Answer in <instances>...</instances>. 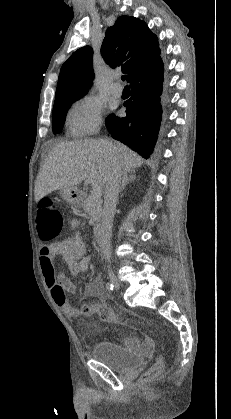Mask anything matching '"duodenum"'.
Here are the masks:
<instances>
[{"label":"duodenum","mask_w":231,"mask_h":419,"mask_svg":"<svg viewBox=\"0 0 231 419\" xmlns=\"http://www.w3.org/2000/svg\"><path fill=\"white\" fill-rule=\"evenodd\" d=\"M94 236L97 241H100L102 239V228L99 224H96L94 226Z\"/></svg>","instance_id":"410a0bca"}]
</instances>
